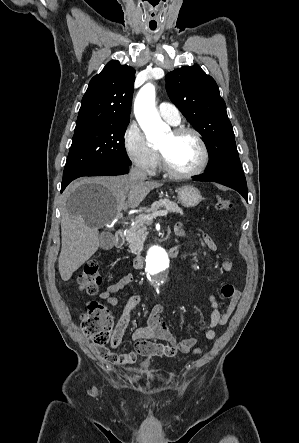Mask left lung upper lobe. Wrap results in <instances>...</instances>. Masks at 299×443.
<instances>
[{
	"label": "left lung upper lobe",
	"mask_w": 299,
	"mask_h": 443,
	"mask_svg": "<svg viewBox=\"0 0 299 443\" xmlns=\"http://www.w3.org/2000/svg\"><path fill=\"white\" fill-rule=\"evenodd\" d=\"M165 80L170 99L207 143L206 173H243L226 105L214 79L195 64L169 72Z\"/></svg>",
	"instance_id": "1"
}]
</instances>
